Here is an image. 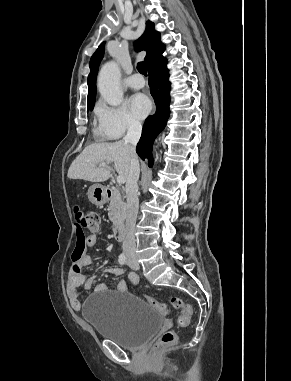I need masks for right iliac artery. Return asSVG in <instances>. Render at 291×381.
Here are the masks:
<instances>
[{"label":"right iliac artery","instance_id":"1","mask_svg":"<svg viewBox=\"0 0 291 381\" xmlns=\"http://www.w3.org/2000/svg\"><path fill=\"white\" fill-rule=\"evenodd\" d=\"M118 261H119V263H120L121 265L126 264V262H127V260H126V256H125L123 253L120 254Z\"/></svg>","mask_w":291,"mask_h":381}]
</instances>
